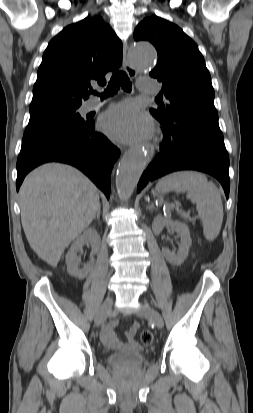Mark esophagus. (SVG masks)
Wrapping results in <instances>:
<instances>
[{
    "instance_id": "obj_1",
    "label": "esophagus",
    "mask_w": 253,
    "mask_h": 413,
    "mask_svg": "<svg viewBox=\"0 0 253 413\" xmlns=\"http://www.w3.org/2000/svg\"><path fill=\"white\" fill-rule=\"evenodd\" d=\"M123 67L126 73L131 77L135 78L137 76V71L130 65L128 58H127V43L124 42L123 44ZM147 148V158L150 160L153 157L154 149L150 145H146Z\"/></svg>"
}]
</instances>
